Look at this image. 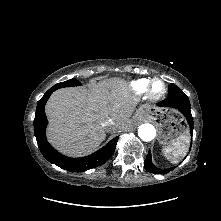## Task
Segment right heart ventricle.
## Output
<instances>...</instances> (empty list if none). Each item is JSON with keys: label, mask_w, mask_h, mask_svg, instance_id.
Returning <instances> with one entry per match:
<instances>
[{"label": "right heart ventricle", "mask_w": 221, "mask_h": 221, "mask_svg": "<svg viewBox=\"0 0 221 221\" xmlns=\"http://www.w3.org/2000/svg\"><path fill=\"white\" fill-rule=\"evenodd\" d=\"M148 84L149 79H139L131 82L130 89L133 93L142 94L147 90Z\"/></svg>", "instance_id": "e07e8e85"}]
</instances>
